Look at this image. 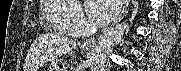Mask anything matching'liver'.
I'll list each match as a JSON object with an SVG mask.
<instances>
[{"label":"liver","instance_id":"obj_1","mask_svg":"<svg viewBox=\"0 0 181 71\" xmlns=\"http://www.w3.org/2000/svg\"><path fill=\"white\" fill-rule=\"evenodd\" d=\"M75 46L74 39L61 35L44 34L38 38V41L34 42L31 52L27 56L24 69L37 71L44 61L57 60L58 57L70 52Z\"/></svg>","mask_w":181,"mask_h":71}]
</instances>
